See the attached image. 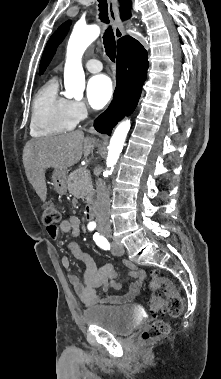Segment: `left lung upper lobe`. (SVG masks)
I'll list each match as a JSON object with an SVG mask.
<instances>
[{"mask_svg": "<svg viewBox=\"0 0 221 379\" xmlns=\"http://www.w3.org/2000/svg\"><path fill=\"white\" fill-rule=\"evenodd\" d=\"M128 3H130V0H127ZM71 24V21L65 22L63 25H61L57 31L50 37L40 62V72L43 73L48 66L49 62L51 61L53 55L55 54L56 48L58 44L64 39L66 36L69 26Z\"/></svg>", "mask_w": 221, "mask_h": 379, "instance_id": "1", "label": "left lung upper lobe"}]
</instances>
